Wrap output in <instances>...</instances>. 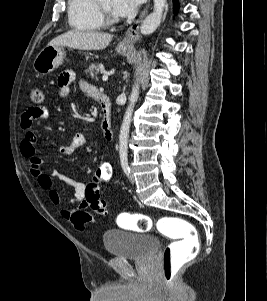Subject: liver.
<instances>
[{
    "mask_svg": "<svg viewBox=\"0 0 267 301\" xmlns=\"http://www.w3.org/2000/svg\"><path fill=\"white\" fill-rule=\"evenodd\" d=\"M113 36L107 33L70 30L48 43V46H68L79 50H102Z\"/></svg>",
    "mask_w": 267,
    "mask_h": 301,
    "instance_id": "obj_1",
    "label": "liver"
}]
</instances>
